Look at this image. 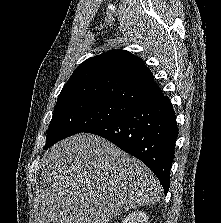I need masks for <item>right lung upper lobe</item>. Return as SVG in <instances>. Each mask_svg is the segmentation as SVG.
<instances>
[{
    "instance_id": "right-lung-upper-lobe-1",
    "label": "right lung upper lobe",
    "mask_w": 221,
    "mask_h": 223,
    "mask_svg": "<svg viewBox=\"0 0 221 223\" xmlns=\"http://www.w3.org/2000/svg\"><path fill=\"white\" fill-rule=\"evenodd\" d=\"M163 95L141 58L112 50L85 60L72 74L57 103L101 97L137 105Z\"/></svg>"
}]
</instances>
